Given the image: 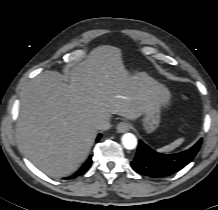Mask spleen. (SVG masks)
<instances>
[{"label":"spleen","mask_w":218,"mask_h":210,"mask_svg":"<svg viewBox=\"0 0 218 210\" xmlns=\"http://www.w3.org/2000/svg\"><path fill=\"white\" fill-rule=\"evenodd\" d=\"M183 141H184L183 138H179V139L175 140L174 142H172L171 144L166 145V146L158 149V151L162 152V153L170 152V151L174 150L176 147L180 146Z\"/></svg>","instance_id":"obj_1"}]
</instances>
